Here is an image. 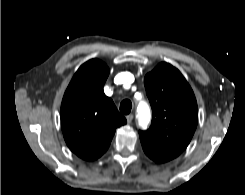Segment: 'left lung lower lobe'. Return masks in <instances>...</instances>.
<instances>
[{
	"label": "left lung lower lobe",
	"instance_id": "left-lung-lower-lobe-1",
	"mask_svg": "<svg viewBox=\"0 0 245 195\" xmlns=\"http://www.w3.org/2000/svg\"><path fill=\"white\" fill-rule=\"evenodd\" d=\"M142 143V147L146 155L152 160L164 163L176 158L180 153L172 150L162 149L155 144L146 141L144 139H140Z\"/></svg>",
	"mask_w": 245,
	"mask_h": 195
}]
</instances>
